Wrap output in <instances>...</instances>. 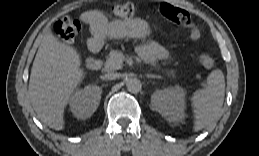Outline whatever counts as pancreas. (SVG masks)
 Returning <instances> with one entry per match:
<instances>
[{
    "mask_svg": "<svg viewBox=\"0 0 259 156\" xmlns=\"http://www.w3.org/2000/svg\"><path fill=\"white\" fill-rule=\"evenodd\" d=\"M143 54L152 55L154 52V48L152 45H146L142 50ZM125 60V55L122 52L117 50H112L104 64V71L110 72L114 70H118L122 68L123 61ZM152 65L157 67V64L152 61ZM168 74L173 75V71H168Z\"/></svg>",
    "mask_w": 259,
    "mask_h": 156,
    "instance_id": "pancreas-1",
    "label": "pancreas"
}]
</instances>
